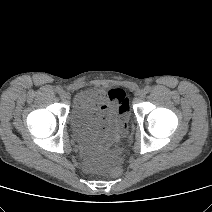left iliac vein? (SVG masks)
<instances>
[{"label":"left iliac vein","instance_id":"left-iliac-vein-1","mask_svg":"<svg viewBox=\"0 0 212 212\" xmlns=\"http://www.w3.org/2000/svg\"><path fill=\"white\" fill-rule=\"evenodd\" d=\"M137 96H138V98H144L146 96V90L145 89L138 90Z\"/></svg>","mask_w":212,"mask_h":212}]
</instances>
